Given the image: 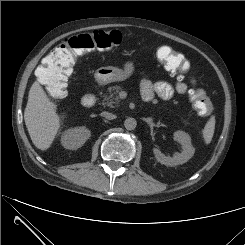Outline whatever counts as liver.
I'll use <instances>...</instances> for the list:
<instances>
[{"mask_svg": "<svg viewBox=\"0 0 245 245\" xmlns=\"http://www.w3.org/2000/svg\"><path fill=\"white\" fill-rule=\"evenodd\" d=\"M56 107L39 82H34L29 90L24 120L33 144L40 150L51 146L60 128Z\"/></svg>", "mask_w": 245, "mask_h": 245, "instance_id": "6515ba94", "label": "liver"}]
</instances>
